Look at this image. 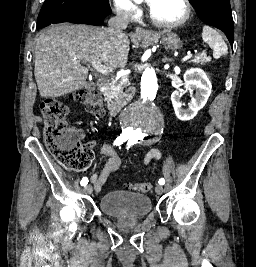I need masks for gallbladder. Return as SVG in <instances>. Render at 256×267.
<instances>
[{
	"label": "gallbladder",
	"mask_w": 256,
	"mask_h": 267,
	"mask_svg": "<svg viewBox=\"0 0 256 267\" xmlns=\"http://www.w3.org/2000/svg\"><path fill=\"white\" fill-rule=\"evenodd\" d=\"M91 86H94V82H90Z\"/></svg>",
	"instance_id": "gallbladder-1"
}]
</instances>
